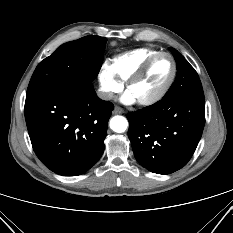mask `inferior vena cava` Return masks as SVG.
Wrapping results in <instances>:
<instances>
[{"mask_svg":"<svg viewBox=\"0 0 233 233\" xmlns=\"http://www.w3.org/2000/svg\"><path fill=\"white\" fill-rule=\"evenodd\" d=\"M97 95L100 99L103 100H110L113 98V93L102 90H98Z\"/></svg>","mask_w":233,"mask_h":233,"instance_id":"602c4592","label":"inferior vena cava"}]
</instances>
